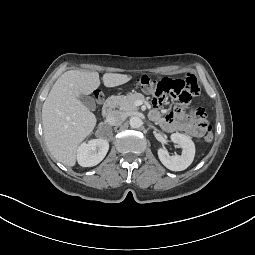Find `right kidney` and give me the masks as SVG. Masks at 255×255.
Listing matches in <instances>:
<instances>
[{
    "label": "right kidney",
    "mask_w": 255,
    "mask_h": 255,
    "mask_svg": "<svg viewBox=\"0 0 255 255\" xmlns=\"http://www.w3.org/2000/svg\"><path fill=\"white\" fill-rule=\"evenodd\" d=\"M109 150L107 140L99 138L82 143L77 148V161L82 167H92L99 164Z\"/></svg>",
    "instance_id": "right-kidney-1"
}]
</instances>
